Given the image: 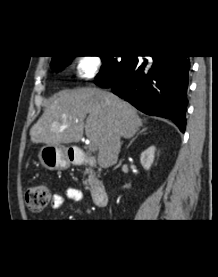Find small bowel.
<instances>
[{
  "mask_svg": "<svg viewBox=\"0 0 218 277\" xmlns=\"http://www.w3.org/2000/svg\"><path fill=\"white\" fill-rule=\"evenodd\" d=\"M65 199L76 201V202H84L85 196L83 192L75 187L67 188L64 194H54L51 201V209L53 211L59 210L63 207L65 203Z\"/></svg>",
  "mask_w": 218,
  "mask_h": 277,
  "instance_id": "small-bowel-1",
  "label": "small bowel"
}]
</instances>
